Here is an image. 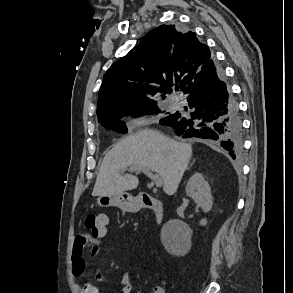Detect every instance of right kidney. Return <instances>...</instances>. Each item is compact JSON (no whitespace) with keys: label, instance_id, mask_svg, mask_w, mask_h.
I'll list each match as a JSON object with an SVG mask.
<instances>
[{"label":"right kidney","instance_id":"1","mask_svg":"<svg viewBox=\"0 0 293 293\" xmlns=\"http://www.w3.org/2000/svg\"><path fill=\"white\" fill-rule=\"evenodd\" d=\"M186 194L194 200V202L207 213L212 209L213 197L211 189L200 173H196L189 179L186 186ZM178 224L181 228L180 232L172 230L173 225ZM207 224L206 219L200 221L201 226ZM191 229L183 222L178 220H170L164 226L161 232V241L165 249L174 255H179L182 251L190 247Z\"/></svg>","mask_w":293,"mask_h":293}]
</instances>
